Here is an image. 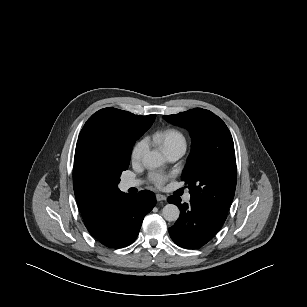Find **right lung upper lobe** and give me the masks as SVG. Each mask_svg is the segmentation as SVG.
Wrapping results in <instances>:
<instances>
[{
	"instance_id": "right-lung-upper-lobe-1",
	"label": "right lung upper lobe",
	"mask_w": 307,
	"mask_h": 307,
	"mask_svg": "<svg viewBox=\"0 0 307 307\" xmlns=\"http://www.w3.org/2000/svg\"><path fill=\"white\" fill-rule=\"evenodd\" d=\"M155 115L139 116L120 109L108 107L94 113L82 128L75 150L73 187L79 210L88 231L94 232L105 219L113 202L124 192L99 179L92 171L88 159L91 135L106 122H128L147 131Z\"/></svg>"
}]
</instances>
